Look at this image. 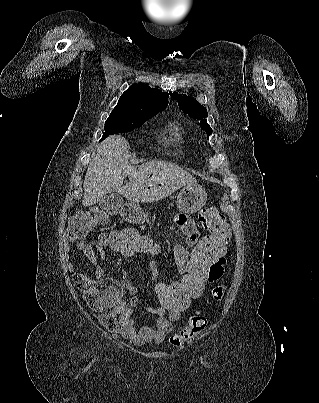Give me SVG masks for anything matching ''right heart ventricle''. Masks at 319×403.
I'll use <instances>...</instances> for the list:
<instances>
[{
	"label": "right heart ventricle",
	"instance_id": "right-heart-ventricle-1",
	"mask_svg": "<svg viewBox=\"0 0 319 403\" xmlns=\"http://www.w3.org/2000/svg\"><path fill=\"white\" fill-rule=\"evenodd\" d=\"M167 141L170 145L181 149L185 144V134L184 130L178 123H172L168 127V138Z\"/></svg>",
	"mask_w": 319,
	"mask_h": 403
}]
</instances>
